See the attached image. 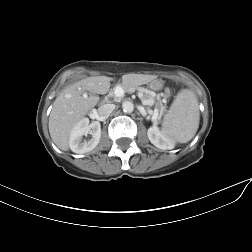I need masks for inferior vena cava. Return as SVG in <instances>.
Segmentation results:
<instances>
[{
    "instance_id": "obj_1",
    "label": "inferior vena cava",
    "mask_w": 252,
    "mask_h": 252,
    "mask_svg": "<svg viewBox=\"0 0 252 252\" xmlns=\"http://www.w3.org/2000/svg\"><path fill=\"white\" fill-rule=\"evenodd\" d=\"M115 109L114 104H103L98 108V114L100 117L106 119L109 117V115L112 113V111Z\"/></svg>"
}]
</instances>
